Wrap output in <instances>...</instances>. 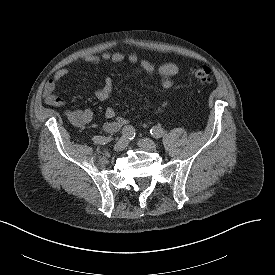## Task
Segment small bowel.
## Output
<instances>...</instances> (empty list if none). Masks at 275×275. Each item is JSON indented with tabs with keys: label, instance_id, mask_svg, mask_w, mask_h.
I'll list each match as a JSON object with an SVG mask.
<instances>
[{
	"label": "small bowel",
	"instance_id": "c3829d8e",
	"mask_svg": "<svg viewBox=\"0 0 275 275\" xmlns=\"http://www.w3.org/2000/svg\"><path fill=\"white\" fill-rule=\"evenodd\" d=\"M127 60L131 64L139 63V68L141 71L152 74L156 71L155 66L147 61L142 60L139 62L137 55L130 54L127 57L120 52H105L101 55H89L84 58V63L87 64H98L100 62H115L120 63ZM159 75L161 76V87L164 90H171L174 87L173 77H176L180 74L179 67L174 63H164L157 69ZM70 74V70L67 68L59 69L54 77L48 80L44 87L43 98L46 104L52 106L62 107L66 104V101L63 97L55 95L54 91L56 85L65 77ZM113 89V80L110 76H107L104 80L102 88L96 92V97L100 101H107L112 93ZM160 108H157L159 111ZM105 118L107 122L104 123L103 129L105 132L113 133L119 131L124 127L128 121L122 116H118L114 108L109 107L105 111ZM65 116L68 121L76 127H84L92 121L93 112L90 109L84 110H67Z\"/></svg>",
	"mask_w": 275,
	"mask_h": 275
}]
</instances>
